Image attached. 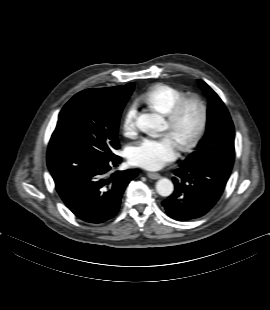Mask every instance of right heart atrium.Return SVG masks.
<instances>
[{
	"label": "right heart atrium",
	"mask_w": 270,
	"mask_h": 310,
	"mask_svg": "<svg viewBox=\"0 0 270 310\" xmlns=\"http://www.w3.org/2000/svg\"><path fill=\"white\" fill-rule=\"evenodd\" d=\"M138 103L131 102L122 118V128L127 135H134L138 130Z\"/></svg>",
	"instance_id": "obj_1"
}]
</instances>
